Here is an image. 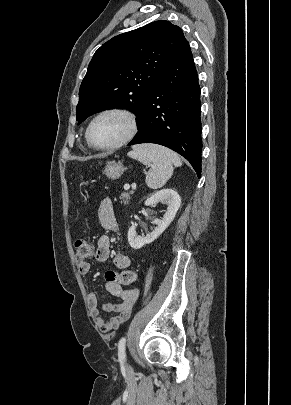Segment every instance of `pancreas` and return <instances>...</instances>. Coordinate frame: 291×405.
<instances>
[{
    "label": "pancreas",
    "mask_w": 291,
    "mask_h": 405,
    "mask_svg": "<svg viewBox=\"0 0 291 405\" xmlns=\"http://www.w3.org/2000/svg\"><path fill=\"white\" fill-rule=\"evenodd\" d=\"M121 202L124 204H129L130 201V193L123 192L120 196Z\"/></svg>",
    "instance_id": "obj_1"
}]
</instances>
